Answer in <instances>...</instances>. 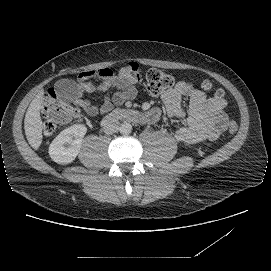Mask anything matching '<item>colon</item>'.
Here are the masks:
<instances>
[{"mask_svg": "<svg viewBox=\"0 0 271 271\" xmlns=\"http://www.w3.org/2000/svg\"><path fill=\"white\" fill-rule=\"evenodd\" d=\"M118 76L121 80L130 85H135L140 81V70L137 63L130 62L118 70ZM174 84V77L167 72L152 68L146 73V87L153 95H158ZM202 87L206 90L212 89V84L209 81H204ZM214 97L223 99L224 91L220 88L214 90ZM80 111L67 103L61 101L52 89L46 90L43 97L41 117L43 132L45 134H52L60 125L69 123L78 118ZM238 126L235 121H230L228 124V131L231 134L237 132Z\"/></svg>", "mask_w": 271, "mask_h": 271, "instance_id": "colon-1", "label": "colon"}]
</instances>
